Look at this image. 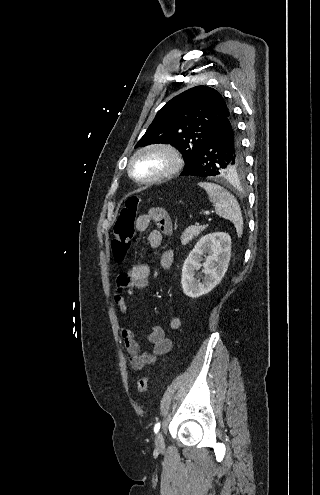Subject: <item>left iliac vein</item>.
Instances as JSON below:
<instances>
[{"instance_id": "1", "label": "left iliac vein", "mask_w": 320, "mask_h": 495, "mask_svg": "<svg viewBox=\"0 0 320 495\" xmlns=\"http://www.w3.org/2000/svg\"><path fill=\"white\" fill-rule=\"evenodd\" d=\"M155 446H156V449L159 451H161L165 448V443H164L163 435L161 432L156 434Z\"/></svg>"}]
</instances>
